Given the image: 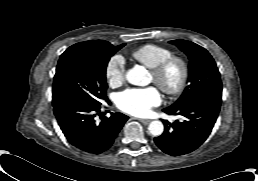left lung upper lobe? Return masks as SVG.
Wrapping results in <instances>:
<instances>
[{
  "instance_id": "5c2ea615",
  "label": "left lung upper lobe",
  "mask_w": 258,
  "mask_h": 181,
  "mask_svg": "<svg viewBox=\"0 0 258 181\" xmlns=\"http://www.w3.org/2000/svg\"><path fill=\"white\" fill-rule=\"evenodd\" d=\"M189 58L190 84L182 96L170 107H181L206 97L220 98L222 83L220 73L212 56L203 47L186 40H173Z\"/></svg>"
}]
</instances>
